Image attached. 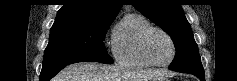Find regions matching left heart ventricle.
Wrapping results in <instances>:
<instances>
[{"mask_svg": "<svg viewBox=\"0 0 237 81\" xmlns=\"http://www.w3.org/2000/svg\"><path fill=\"white\" fill-rule=\"evenodd\" d=\"M149 50L154 61L167 62L172 56V46L167 37L159 32H154L149 38Z\"/></svg>", "mask_w": 237, "mask_h": 81, "instance_id": "left-heart-ventricle-1", "label": "left heart ventricle"}]
</instances>
